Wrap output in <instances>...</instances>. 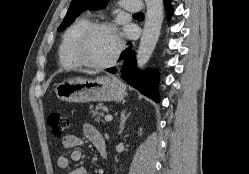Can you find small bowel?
Here are the masks:
<instances>
[{
	"mask_svg": "<svg viewBox=\"0 0 249 174\" xmlns=\"http://www.w3.org/2000/svg\"><path fill=\"white\" fill-rule=\"evenodd\" d=\"M83 135L86 139L90 140L94 144L99 155L103 159H105L108 155L107 145L101 134L97 131V129L91 124H85L83 126ZM62 144L67 149H73L69 155L61 154L57 160L58 166L60 168L68 169L71 162H78L82 159V152L81 150L77 149V147L83 144V139L76 135L68 134L63 138ZM67 174L89 173L85 167L78 166L69 170Z\"/></svg>",
	"mask_w": 249,
	"mask_h": 174,
	"instance_id": "c3829d8e",
	"label": "small bowel"
}]
</instances>
